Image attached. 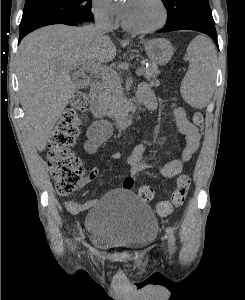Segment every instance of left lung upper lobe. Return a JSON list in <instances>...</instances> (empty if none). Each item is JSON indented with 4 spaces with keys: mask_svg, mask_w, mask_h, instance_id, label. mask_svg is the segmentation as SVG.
Instances as JSON below:
<instances>
[{
    "mask_svg": "<svg viewBox=\"0 0 245 300\" xmlns=\"http://www.w3.org/2000/svg\"><path fill=\"white\" fill-rule=\"evenodd\" d=\"M168 11L166 25L177 23L183 18H194L215 23L208 0H162Z\"/></svg>",
    "mask_w": 245,
    "mask_h": 300,
    "instance_id": "1",
    "label": "left lung upper lobe"
}]
</instances>
